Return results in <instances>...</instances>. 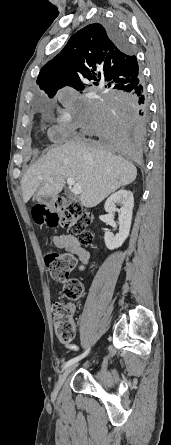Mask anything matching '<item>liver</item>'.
Listing matches in <instances>:
<instances>
[{"label": "liver", "mask_w": 171, "mask_h": 445, "mask_svg": "<svg viewBox=\"0 0 171 445\" xmlns=\"http://www.w3.org/2000/svg\"><path fill=\"white\" fill-rule=\"evenodd\" d=\"M136 176V167L125 158L111 157L99 144L71 141L51 149L26 171L21 180L23 201L27 203L36 192L56 196L65 179L73 178L82 190L81 204L91 208Z\"/></svg>", "instance_id": "6515ba94"}]
</instances>
